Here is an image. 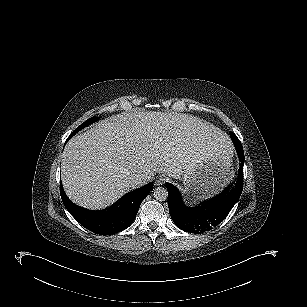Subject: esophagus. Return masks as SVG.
<instances>
[{
  "instance_id": "1",
  "label": "esophagus",
  "mask_w": 307,
  "mask_h": 307,
  "mask_svg": "<svg viewBox=\"0 0 307 307\" xmlns=\"http://www.w3.org/2000/svg\"><path fill=\"white\" fill-rule=\"evenodd\" d=\"M165 182H166V178L161 176L156 180L155 185L160 186V185H163Z\"/></svg>"
}]
</instances>
